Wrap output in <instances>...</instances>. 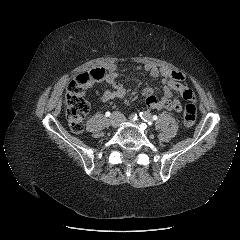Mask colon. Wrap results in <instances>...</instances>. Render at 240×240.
<instances>
[{"instance_id":"5ec220e1","label":"colon","mask_w":240,"mask_h":240,"mask_svg":"<svg viewBox=\"0 0 240 240\" xmlns=\"http://www.w3.org/2000/svg\"><path fill=\"white\" fill-rule=\"evenodd\" d=\"M105 77L103 68L93 69L82 73L70 81L66 93V117L70 129L74 133H81L84 129V120L90 105L85 98V92L92 82H98ZM183 121L186 126H192L196 121V105L188 101L183 109Z\"/></svg>"}]
</instances>
